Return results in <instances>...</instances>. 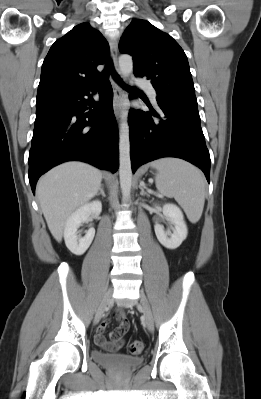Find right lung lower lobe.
Returning <instances> with one entry per match:
<instances>
[{
    "label": "right lung lower lobe",
    "mask_w": 261,
    "mask_h": 399,
    "mask_svg": "<svg viewBox=\"0 0 261 399\" xmlns=\"http://www.w3.org/2000/svg\"><path fill=\"white\" fill-rule=\"evenodd\" d=\"M87 89L36 104L35 128L29 151V182L33 193L39 177L52 167L71 160L101 169H118L117 123L113 112V91L106 79L99 90V102L89 104ZM88 102V101H87Z\"/></svg>",
    "instance_id": "1"
}]
</instances>
